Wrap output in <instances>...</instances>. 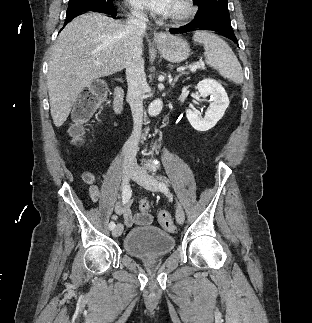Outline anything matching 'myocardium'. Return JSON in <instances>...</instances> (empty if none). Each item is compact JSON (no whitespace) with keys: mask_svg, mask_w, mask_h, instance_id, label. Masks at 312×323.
Returning <instances> with one entry per match:
<instances>
[{"mask_svg":"<svg viewBox=\"0 0 312 323\" xmlns=\"http://www.w3.org/2000/svg\"><path fill=\"white\" fill-rule=\"evenodd\" d=\"M194 0H174V3H171L170 8L173 13V21H192L195 19L196 12L198 9V4L193 3Z\"/></svg>","mask_w":312,"mask_h":323,"instance_id":"myocardium-1","label":"myocardium"}]
</instances>
